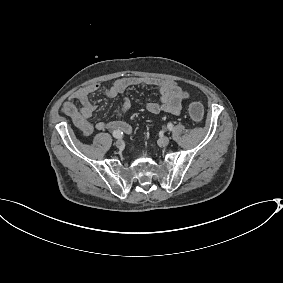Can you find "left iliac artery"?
<instances>
[{"instance_id": "1", "label": "left iliac artery", "mask_w": 283, "mask_h": 283, "mask_svg": "<svg viewBox=\"0 0 283 283\" xmlns=\"http://www.w3.org/2000/svg\"><path fill=\"white\" fill-rule=\"evenodd\" d=\"M167 127H168V129H169L170 131L173 130V124H172V123H168Z\"/></svg>"}]
</instances>
